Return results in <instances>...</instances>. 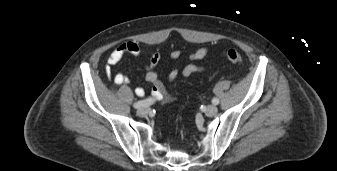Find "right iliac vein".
Segmentation results:
<instances>
[{"mask_svg":"<svg viewBox=\"0 0 337 171\" xmlns=\"http://www.w3.org/2000/svg\"><path fill=\"white\" fill-rule=\"evenodd\" d=\"M150 112V109L148 107H142L137 111L138 116L144 117Z\"/></svg>","mask_w":337,"mask_h":171,"instance_id":"63e3f726","label":"right iliac vein"}]
</instances>
